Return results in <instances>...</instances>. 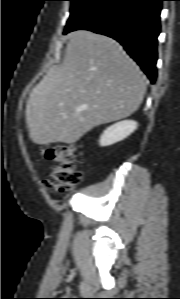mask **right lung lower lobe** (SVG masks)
<instances>
[{
  "mask_svg": "<svg viewBox=\"0 0 180 299\" xmlns=\"http://www.w3.org/2000/svg\"><path fill=\"white\" fill-rule=\"evenodd\" d=\"M162 1L104 0L64 33L84 29L114 38L155 83Z\"/></svg>",
  "mask_w": 180,
  "mask_h": 299,
  "instance_id": "98d812e1",
  "label": "right lung lower lobe"
}]
</instances>
